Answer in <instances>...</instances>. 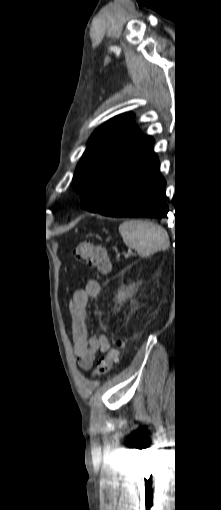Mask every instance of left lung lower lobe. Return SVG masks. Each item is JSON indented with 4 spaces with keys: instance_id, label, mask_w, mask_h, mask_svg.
Returning <instances> with one entry per match:
<instances>
[{
    "instance_id": "0a47b994",
    "label": "left lung lower lobe",
    "mask_w": 221,
    "mask_h": 510,
    "mask_svg": "<svg viewBox=\"0 0 221 510\" xmlns=\"http://www.w3.org/2000/svg\"><path fill=\"white\" fill-rule=\"evenodd\" d=\"M156 157L139 172L104 208L91 209V212L109 217H150L166 218V181L159 173Z\"/></svg>"
}]
</instances>
